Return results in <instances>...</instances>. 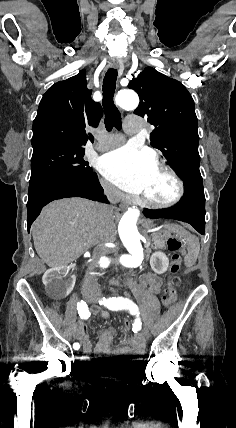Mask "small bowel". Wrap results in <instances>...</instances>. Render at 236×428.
<instances>
[{
    "label": "small bowel",
    "mask_w": 236,
    "mask_h": 428,
    "mask_svg": "<svg viewBox=\"0 0 236 428\" xmlns=\"http://www.w3.org/2000/svg\"><path fill=\"white\" fill-rule=\"evenodd\" d=\"M144 280L151 291L158 292L160 290L162 280L158 275L148 274ZM101 315L105 319L110 317L109 312H102ZM74 334L76 338L83 343L82 358L84 360H89L93 350L85 325L83 323H78L74 328ZM114 336L115 330L111 327L100 330L99 341L94 349L95 354L99 356L112 354L119 357L130 358L132 360L139 358L143 354L145 338L141 334L125 339L119 347L111 348L110 343Z\"/></svg>",
    "instance_id": "1"
}]
</instances>
